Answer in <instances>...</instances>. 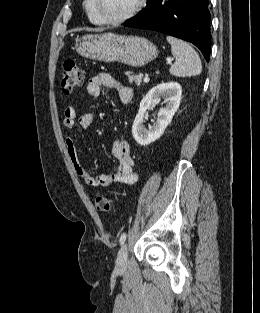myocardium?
Instances as JSON below:
<instances>
[{
    "label": "myocardium",
    "mask_w": 260,
    "mask_h": 313,
    "mask_svg": "<svg viewBox=\"0 0 260 313\" xmlns=\"http://www.w3.org/2000/svg\"><path fill=\"white\" fill-rule=\"evenodd\" d=\"M144 4L145 0H136L134 7L128 13L118 18H109L102 13L99 0H93V8L99 19L103 22V24L110 25H118L129 21L143 9Z\"/></svg>",
    "instance_id": "f54148a6"
}]
</instances>
